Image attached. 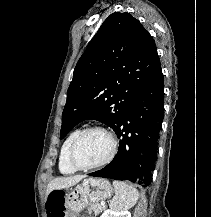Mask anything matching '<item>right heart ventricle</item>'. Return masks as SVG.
Returning <instances> with one entry per match:
<instances>
[{"label":"right heart ventricle","mask_w":211,"mask_h":217,"mask_svg":"<svg viewBox=\"0 0 211 217\" xmlns=\"http://www.w3.org/2000/svg\"><path fill=\"white\" fill-rule=\"evenodd\" d=\"M80 131H81L80 129H75L71 131L68 134V136L65 138L61 146L59 160H58V168L62 174H73L77 170L70 164L68 155H69L70 146Z\"/></svg>","instance_id":"e07e8e85"}]
</instances>
